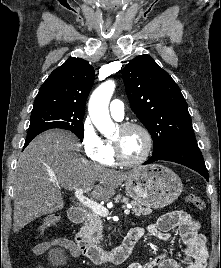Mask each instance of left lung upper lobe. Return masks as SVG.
<instances>
[{
	"mask_svg": "<svg viewBox=\"0 0 221 268\" xmlns=\"http://www.w3.org/2000/svg\"><path fill=\"white\" fill-rule=\"evenodd\" d=\"M130 107L153 139V155L173 142L195 137L188 105L171 76L143 54L122 71Z\"/></svg>",
	"mask_w": 221,
	"mask_h": 268,
	"instance_id": "5c2ea615",
	"label": "left lung upper lobe"
}]
</instances>
